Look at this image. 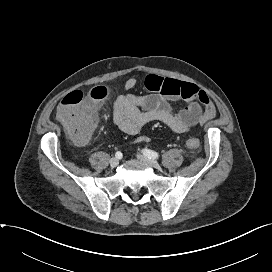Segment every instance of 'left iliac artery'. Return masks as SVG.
Instances as JSON below:
<instances>
[{
    "mask_svg": "<svg viewBox=\"0 0 272 272\" xmlns=\"http://www.w3.org/2000/svg\"><path fill=\"white\" fill-rule=\"evenodd\" d=\"M142 152L145 156H148L151 159H157L159 157V154L153 150L143 149Z\"/></svg>",
    "mask_w": 272,
    "mask_h": 272,
    "instance_id": "44dca946",
    "label": "left iliac artery"
}]
</instances>
